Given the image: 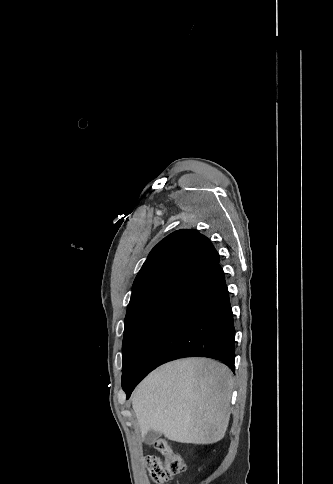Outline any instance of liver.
Returning a JSON list of instances; mask_svg holds the SVG:
<instances>
[{
    "instance_id": "6515ba94",
    "label": "liver",
    "mask_w": 333,
    "mask_h": 484,
    "mask_svg": "<svg viewBox=\"0 0 333 484\" xmlns=\"http://www.w3.org/2000/svg\"><path fill=\"white\" fill-rule=\"evenodd\" d=\"M233 378L224 364L188 358L165 364L135 389L132 408L140 432L198 445L220 441L230 419Z\"/></svg>"
}]
</instances>
